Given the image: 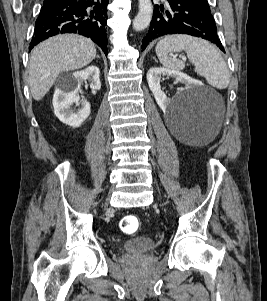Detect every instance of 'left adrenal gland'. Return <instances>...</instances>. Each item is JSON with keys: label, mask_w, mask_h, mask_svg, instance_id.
Returning a JSON list of instances; mask_svg holds the SVG:
<instances>
[{"label": "left adrenal gland", "mask_w": 267, "mask_h": 301, "mask_svg": "<svg viewBox=\"0 0 267 301\" xmlns=\"http://www.w3.org/2000/svg\"><path fill=\"white\" fill-rule=\"evenodd\" d=\"M153 59H154L155 61H157L156 58H155L154 56H153Z\"/></svg>", "instance_id": "left-adrenal-gland-1"}]
</instances>
